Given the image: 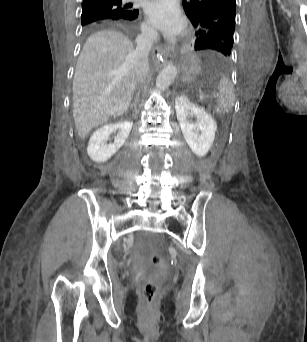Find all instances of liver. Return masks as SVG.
<instances>
[{"instance_id": "1", "label": "liver", "mask_w": 307, "mask_h": 342, "mask_svg": "<svg viewBox=\"0 0 307 342\" xmlns=\"http://www.w3.org/2000/svg\"><path fill=\"white\" fill-rule=\"evenodd\" d=\"M132 52V42L114 30L87 38L73 80V118L82 140L128 110L137 82Z\"/></svg>"}]
</instances>
